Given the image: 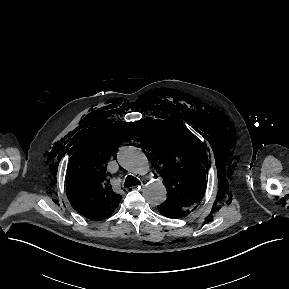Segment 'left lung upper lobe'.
Here are the masks:
<instances>
[{"label": "left lung upper lobe", "mask_w": 289, "mask_h": 289, "mask_svg": "<svg viewBox=\"0 0 289 289\" xmlns=\"http://www.w3.org/2000/svg\"><path fill=\"white\" fill-rule=\"evenodd\" d=\"M137 124L141 148L167 187L168 198L160 205L189 214L207 185L208 158L201 141L174 120L146 118Z\"/></svg>", "instance_id": "left-lung-upper-lobe-1"}]
</instances>
